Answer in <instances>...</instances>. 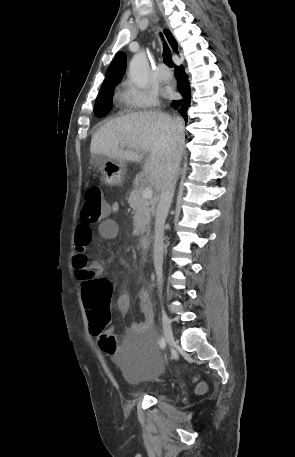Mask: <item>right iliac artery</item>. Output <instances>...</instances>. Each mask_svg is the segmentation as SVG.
<instances>
[{
	"label": "right iliac artery",
	"instance_id": "obj_1",
	"mask_svg": "<svg viewBox=\"0 0 295 457\" xmlns=\"http://www.w3.org/2000/svg\"><path fill=\"white\" fill-rule=\"evenodd\" d=\"M159 345H160V348H164L166 343H165V339L161 336V339H160V342H159Z\"/></svg>",
	"mask_w": 295,
	"mask_h": 457
}]
</instances>
